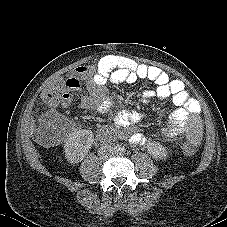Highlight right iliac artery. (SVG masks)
<instances>
[{"label":"right iliac artery","mask_w":227,"mask_h":227,"mask_svg":"<svg viewBox=\"0 0 227 227\" xmlns=\"http://www.w3.org/2000/svg\"><path fill=\"white\" fill-rule=\"evenodd\" d=\"M115 151H118V149H119V146L118 145H116V146H114V148H113Z\"/></svg>","instance_id":"82829eb1"}]
</instances>
